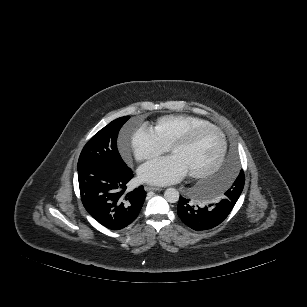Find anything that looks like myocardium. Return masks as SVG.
Listing matches in <instances>:
<instances>
[{"instance_id":"1","label":"myocardium","mask_w":307,"mask_h":307,"mask_svg":"<svg viewBox=\"0 0 307 307\" xmlns=\"http://www.w3.org/2000/svg\"><path fill=\"white\" fill-rule=\"evenodd\" d=\"M207 129H212L219 134V136L221 138L220 153H219L218 158H217L215 164L213 165V167L206 169V170H203V171H199V172H189L188 175L192 178L208 177V176L214 174L215 172H217L220 169V167L222 166V164L225 160L226 154H227L228 142H227V138H226L224 132L221 130V128L218 127L215 124H212V123L192 127L187 132H185L184 134H182L181 136L176 138L168 146V150L171 153L177 147L186 146V145L190 144L200 132L207 130Z\"/></svg>"}]
</instances>
